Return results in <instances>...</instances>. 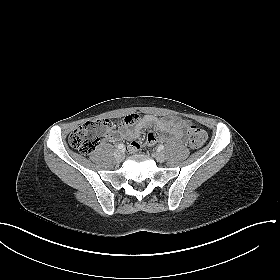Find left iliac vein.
<instances>
[{
  "label": "left iliac vein",
  "instance_id": "4c4485c4",
  "mask_svg": "<svg viewBox=\"0 0 280 280\" xmlns=\"http://www.w3.org/2000/svg\"><path fill=\"white\" fill-rule=\"evenodd\" d=\"M152 156L156 161L160 163H163L165 161V155L161 152H154Z\"/></svg>",
  "mask_w": 280,
  "mask_h": 280
}]
</instances>
